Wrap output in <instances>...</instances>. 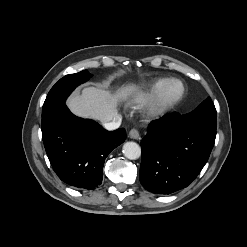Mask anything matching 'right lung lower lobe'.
Wrapping results in <instances>:
<instances>
[{
  "mask_svg": "<svg viewBox=\"0 0 247 247\" xmlns=\"http://www.w3.org/2000/svg\"><path fill=\"white\" fill-rule=\"evenodd\" d=\"M42 137L50 163L65 183L93 189L102 183L106 157L126 139L93 120L78 118L64 104L42 115Z\"/></svg>",
  "mask_w": 247,
  "mask_h": 247,
  "instance_id": "98d812e1",
  "label": "right lung lower lobe"
}]
</instances>
